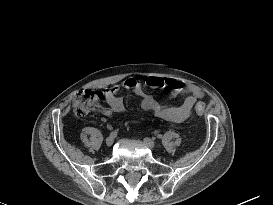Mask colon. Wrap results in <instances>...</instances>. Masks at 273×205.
I'll return each instance as SVG.
<instances>
[{"label":"colon","mask_w":273,"mask_h":205,"mask_svg":"<svg viewBox=\"0 0 273 205\" xmlns=\"http://www.w3.org/2000/svg\"><path fill=\"white\" fill-rule=\"evenodd\" d=\"M103 98V93L97 90H81L73 97V108L75 113L80 116H86L89 113L98 110ZM205 106L202 103L196 105V112L199 115L205 113Z\"/></svg>","instance_id":"1"}]
</instances>
